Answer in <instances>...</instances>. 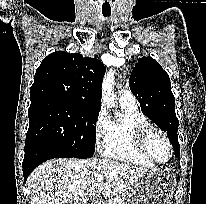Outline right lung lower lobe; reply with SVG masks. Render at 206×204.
I'll use <instances>...</instances> for the list:
<instances>
[{"instance_id":"obj_1","label":"right lung lower lobe","mask_w":206,"mask_h":204,"mask_svg":"<svg viewBox=\"0 0 206 204\" xmlns=\"http://www.w3.org/2000/svg\"><path fill=\"white\" fill-rule=\"evenodd\" d=\"M59 157H65V154L49 147H37L25 152L23 160L24 180L26 181L29 174L41 163Z\"/></svg>"}]
</instances>
